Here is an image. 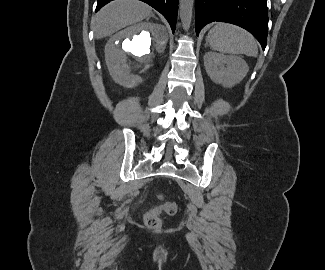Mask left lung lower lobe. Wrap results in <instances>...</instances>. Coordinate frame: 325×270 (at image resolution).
Segmentation results:
<instances>
[{
	"instance_id": "0a47b994",
	"label": "left lung lower lobe",
	"mask_w": 325,
	"mask_h": 270,
	"mask_svg": "<svg viewBox=\"0 0 325 270\" xmlns=\"http://www.w3.org/2000/svg\"><path fill=\"white\" fill-rule=\"evenodd\" d=\"M219 21L238 25L267 44V0H195V28L198 35L208 23Z\"/></svg>"
}]
</instances>
